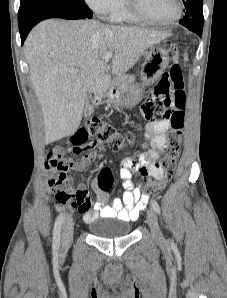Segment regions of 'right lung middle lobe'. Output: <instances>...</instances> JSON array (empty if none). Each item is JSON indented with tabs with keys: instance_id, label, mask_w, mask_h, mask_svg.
Returning a JSON list of instances; mask_svg holds the SVG:
<instances>
[{
	"instance_id": "1",
	"label": "right lung middle lobe",
	"mask_w": 227,
	"mask_h": 298,
	"mask_svg": "<svg viewBox=\"0 0 227 298\" xmlns=\"http://www.w3.org/2000/svg\"><path fill=\"white\" fill-rule=\"evenodd\" d=\"M45 9H64L92 14L84 0H20L18 23Z\"/></svg>"
}]
</instances>
